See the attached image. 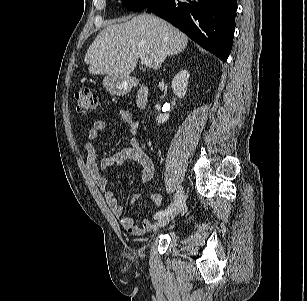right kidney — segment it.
I'll return each mask as SVG.
<instances>
[{"mask_svg":"<svg viewBox=\"0 0 307 301\" xmlns=\"http://www.w3.org/2000/svg\"><path fill=\"white\" fill-rule=\"evenodd\" d=\"M189 72L187 70L179 71L172 80L173 93L180 99L184 98L187 92V85L189 79ZM169 119V114H160L157 116L156 121L163 124Z\"/></svg>","mask_w":307,"mask_h":301,"instance_id":"1","label":"right kidney"}]
</instances>
